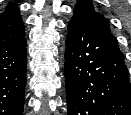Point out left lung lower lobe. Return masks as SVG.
<instances>
[{
	"mask_svg": "<svg viewBox=\"0 0 131 115\" xmlns=\"http://www.w3.org/2000/svg\"><path fill=\"white\" fill-rule=\"evenodd\" d=\"M67 115H131V84L124 56L77 18L65 50Z\"/></svg>",
	"mask_w": 131,
	"mask_h": 115,
	"instance_id": "left-lung-lower-lobe-1",
	"label": "left lung lower lobe"
}]
</instances>
